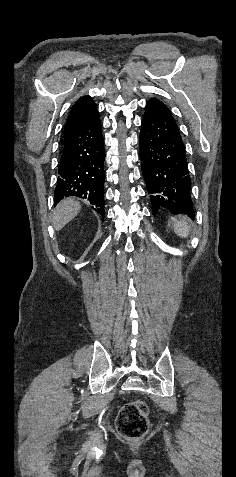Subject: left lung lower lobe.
<instances>
[{"label":"left lung lower lobe","instance_id":"left-lung-lower-lobe-1","mask_svg":"<svg viewBox=\"0 0 236 477\" xmlns=\"http://www.w3.org/2000/svg\"><path fill=\"white\" fill-rule=\"evenodd\" d=\"M140 158L153 213L193 215L185 147L169 108L158 99L146 105L140 133Z\"/></svg>","mask_w":236,"mask_h":477}]
</instances>
